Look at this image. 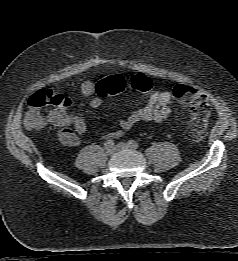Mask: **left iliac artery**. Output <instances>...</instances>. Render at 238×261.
I'll return each instance as SVG.
<instances>
[{
	"instance_id": "left-iliac-artery-1",
	"label": "left iliac artery",
	"mask_w": 238,
	"mask_h": 261,
	"mask_svg": "<svg viewBox=\"0 0 238 261\" xmlns=\"http://www.w3.org/2000/svg\"><path fill=\"white\" fill-rule=\"evenodd\" d=\"M128 144L134 149H137L139 147V144L134 140H129Z\"/></svg>"
}]
</instances>
